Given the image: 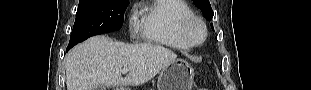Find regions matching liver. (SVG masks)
<instances>
[{
	"instance_id": "1",
	"label": "liver",
	"mask_w": 311,
	"mask_h": 90,
	"mask_svg": "<svg viewBox=\"0 0 311 90\" xmlns=\"http://www.w3.org/2000/svg\"><path fill=\"white\" fill-rule=\"evenodd\" d=\"M176 59L177 55L163 46L126 44L95 36L66 55L67 90H95L98 85H142ZM123 68L129 70L125 78L122 77Z\"/></svg>"
}]
</instances>
